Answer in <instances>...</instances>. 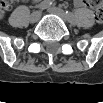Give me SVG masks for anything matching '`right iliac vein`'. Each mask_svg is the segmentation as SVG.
<instances>
[{"label": "right iliac vein", "mask_w": 103, "mask_h": 103, "mask_svg": "<svg viewBox=\"0 0 103 103\" xmlns=\"http://www.w3.org/2000/svg\"><path fill=\"white\" fill-rule=\"evenodd\" d=\"M40 15H41L40 11H34L30 16V22L31 23L37 22L40 18Z\"/></svg>", "instance_id": "63e3f726"}]
</instances>
